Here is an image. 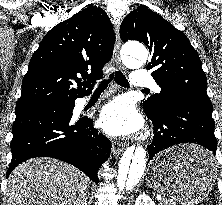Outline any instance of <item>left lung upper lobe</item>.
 I'll return each mask as SVG.
<instances>
[{
    "mask_svg": "<svg viewBox=\"0 0 222 205\" xmlns=\"http://www.w3.org/2000/svg\"><path fill=\"white\" fill-rule=\"evenodd\" d=\"M120 37L124 42L145 43L152 54L147 69L153 70L151 74L161 92L143 103L146 113L158 116L168 98L178 94L210 101L197 51L181 31L160 15L145 7L133 10L120 25Z\"/></svg>",
    "mask_w": 222,
    "mask_h": 205,
    "instance_id": "1",
    "label": "left lung upper lobe"
}]
</instances>
